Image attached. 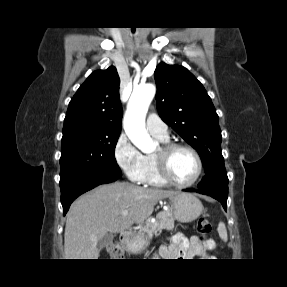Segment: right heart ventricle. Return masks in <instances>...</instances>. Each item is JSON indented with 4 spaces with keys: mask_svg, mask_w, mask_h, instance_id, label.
I'll use <instances>...</instances> for the list:
<instances>
[{
    "mask_svg": "<svg viewBox=\"0 0 287 287\" xmlns=\"http://www.w3.org/2000/svg\"><path fill=\"white\" fill-rule=\"evenodd\" d=\"M161 141L166 143L167 139ZM141 183L157 187H164L169 184L161 177L153 154L144 155V171Z\"/></svg>",
    "mask_w": 287,
    "mask_h": 287,
    "instance_id": "1",
    "label": "right heart ventricle"
}]
</instances>
